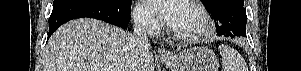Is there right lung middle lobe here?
<instances>
[{"label": "right lung middle lobe", "mask_w": 301, "mask_h": 71, "mask_svg": "<svg viewBox=\"0 0 301 71\" xmlns=\"http://www.w3.org/2000/svg\"><path fill=\"white\" fill-rule=\"evenodd\" d=\"M74 0H54L53 6H57L60 4H64L67 2H71ZM91 1H96V2H101V3H114V4H126L129 3L131 0H91Z\"/></svg>", "instance_id": "dd1d6c3e"}]
</instances>
